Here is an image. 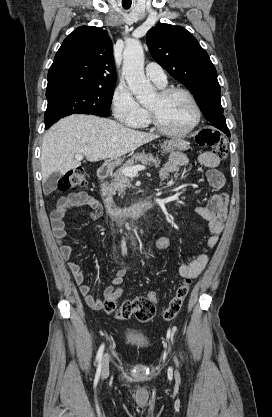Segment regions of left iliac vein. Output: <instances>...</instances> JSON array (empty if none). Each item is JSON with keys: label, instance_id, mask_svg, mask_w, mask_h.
Returning <instances> with one entry per match:
<instances>
[{"label": "left iliac vein", "instance_id": "left-iliac-vein-1", "mask_svg": "<svg viewBox=\"0 0 272 417\" xmlns=\"http://www.w3.org/2000/svg\"><path fill=\"white\" fill-rule=\"evenodd\" d=\"M176 364L178 363L177 360L175 359Z\"/></svg>", "mask_w": 272, "mask_h": 417}]
</instances>
